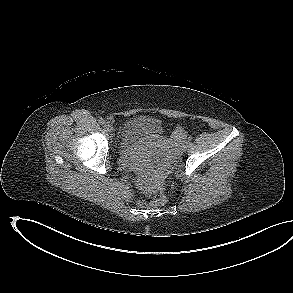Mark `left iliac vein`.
<instances>
[{
	"label": "left iliac vein",
	"mask_w": 293,
	"mask_h": 293,
	"mask_svg": "<svg viewBox=\"0 0 293 293\" xmlns=\"http://www.w3.org/2000/svg\"><path fill=\"white\" fill-rule=\"evenodd\" d=\"M181 148H182L183 151L186 150V148H187V141L184 140V141L182 142V146H181Z\"/></svg>",
	"instance_id": "4c4485c4"
}]
</instances>
